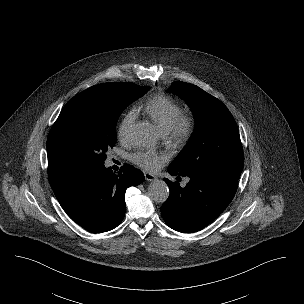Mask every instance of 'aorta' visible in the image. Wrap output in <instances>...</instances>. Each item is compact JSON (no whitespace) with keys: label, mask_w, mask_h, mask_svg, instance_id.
Masks as SVG:
<instances>
[{"label":"aorta","mask_w":304,"mask_h":304,"mask_svg":"<svg viewBox=\"0 0 304 304\" xmlns=\"http://www.w3.org/2000/svg\"><path fill=\"white\" fill-rule=\"evenodd\" d=\"M151 127L146 123H139L131 133V141L137 147H147L151 144ZM149 197L157 202L163 203L169 197L168 185L163 180L155 179L148 186Z\"/></svg>","instance_id":"1"}]
</instances>
